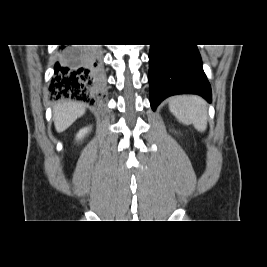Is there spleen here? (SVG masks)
<instances>
[{"mask_svg": "<svg viewBox=\"0 0 267 267\" xmlns=\"http://www.w3.org/2000/svg\"><path fill=\"white\" fill-rule=\"evenodd\" d=\"M169 109L182 123L193 126L200 132L207 127V108L205 101L193 95L173 97L169 102Z\"/></svg>", "mask_w": 267, "mask_h": 267, "instance_id": "spleen-1", "label": "spleen"}]
</instances>
